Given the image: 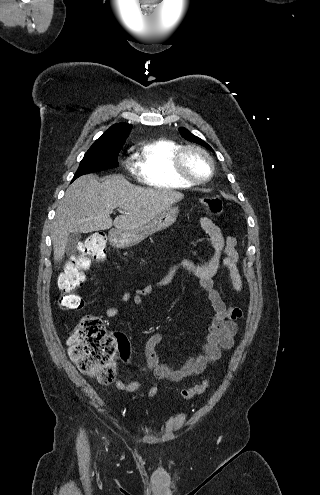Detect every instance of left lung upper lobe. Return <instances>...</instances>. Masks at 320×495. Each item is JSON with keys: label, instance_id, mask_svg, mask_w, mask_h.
Returning a JSON list of instances; mask_svg holds the SVG:
<instances>
[{"label": "left lung upper lobe", "instance_id": "obj_1", "mask_svg": "<svg viewBox=\"0 0 320 495\" xmlns=\"http://www.w3.org/2000/svg\"><path fill=\"white\" fill-rule=\"evenodd\" d=\"M179 131H180L182 137L185 138L186 140L191 141V142H195V143H197V144H199V145H201V146H203L209 150H212V148L206 142H204L200 138L191 134L187 129L181 127L179 129Z\"/></svg>", "mask_w": 320, "mask_h": 495}]
</instances>
